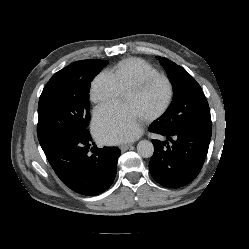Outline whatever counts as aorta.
I'll use <instances>...</instances> for the list:
<instances>
[{
  "label": "aorta",
  "mask_w": 249,
  "mask_h": 249,
  "mask_svg": "<svg viewBox=\"0 0 249 249\" xmlns=\"http://www.w3.org/2000/svg\"><path fill=\"white\" fill-rule=\"evenodd\" d=\"M137 152L143 158H149L154 153V146L152 142L148 140H141L137 144Z\"/></svg>",
  "instance_id": "762f6f07"
}]
</instances>
